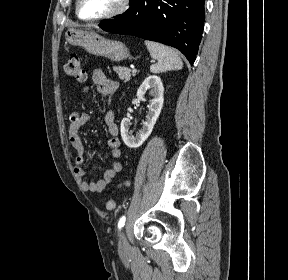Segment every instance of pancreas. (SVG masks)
<instances>
[{
	"instance_id": "1",
	"label": "pancreas",
	"mask_w": 288,
	"mask_h": 280,
	"mask_svg": "<svg viewBox=\"0 0 288 280\" xmlns=\"http://www.w3.org/2000/svg\"><path fill=\"white\" fill-rule=\"evenodd\" d=\"M113 70L118 74L121 80L128 82L131 79L130 69L127 67L114 66ZM134 76V74H133Z\"/></svg>"
}]
</instances>
